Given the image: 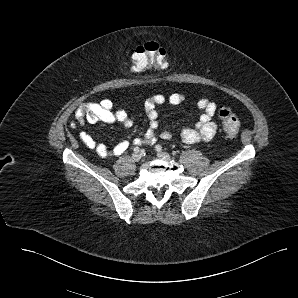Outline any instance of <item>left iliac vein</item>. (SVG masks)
I'll return each instance as SVG.
<instances>
[{"mask_svg": "<svg viewBox=\"0 0 298 298\" xmlns=\"http://www.w3.org/2000/svg\"><path fill=\"white\" fill-rule=\"evenodd\" d=\"M157 157L161 160H169L171 158L170 155L166 152H159L157 154Z\"/></svg>", "mask_w": 298, "mask_h": 298, "instance_id": "obj_1", "label": "left iliac vein"}]
</instances>
